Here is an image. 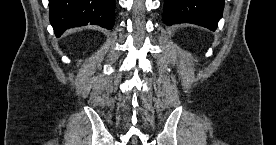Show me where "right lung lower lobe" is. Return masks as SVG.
Wrapping results in <instances>:
<instances>
[{"label": "right lung lower lobe", "instance_id": "obj_1", "mask_svg": "<svg viewBox=\"0 0 276 145\" xmlns=\"http://www.w3.org/2000/svg\"><path fill=\"white\" fill-rule=\"evenodd\" d=\"M49 18L59 37L67 28L96 24L111 29L115 0H49Z\"/></svg>", "mask_w": 276, "mask_h": 145}]
</instances>
